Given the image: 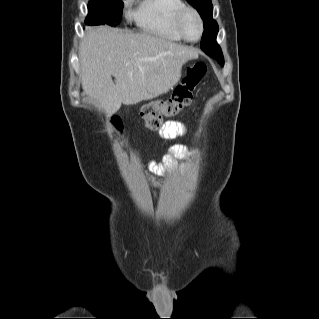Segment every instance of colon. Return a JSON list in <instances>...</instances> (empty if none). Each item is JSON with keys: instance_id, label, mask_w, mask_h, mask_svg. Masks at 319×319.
<instances>
[{"instance_id": "5ec220e1", "label": "colon", "mask_w": 319, "mask_h": 319, "mask_svg": "<svg viewBox=\"0 0 319 319\" xmlns=\"http://www.w3.org/2000/svg\"><path fill=\"white\" fill-rule=\"evenodd\" d=\"M207 68L205 63L196 62L190 66L181 82L174 89L170 100L164 103H151L141 109L144 124L149 130L160 128L164 118L177 116L183 107L189 104L192 95L201 79L205 76ZM118 131L119 119L115 120Z\"/></svg>"}]
</instances>
